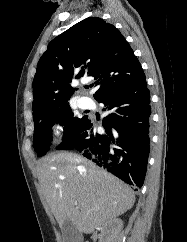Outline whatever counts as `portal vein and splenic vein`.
<instances>
[{
  "mask_svg": "<svg viewBox=\"0 0 187 242\" xmlns=\"http://www.w3.org/2000/svg\"><path fill=\"white\" fill-rule=\"evenodd\" d=\"M75 205H76V207H78V203L77 202H75Z\"/></svg>",
  "mask_w": 187,
  "mask_h": 242,
  "instance_id": "obj_1",
  "label": "portal vein and splenic vein"
}]
</instances>
